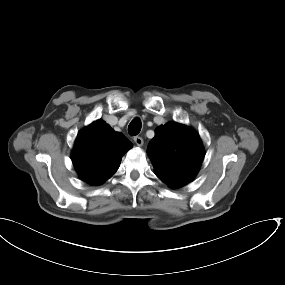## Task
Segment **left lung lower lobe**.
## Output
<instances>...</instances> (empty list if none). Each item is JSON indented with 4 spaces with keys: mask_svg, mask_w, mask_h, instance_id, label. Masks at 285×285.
<instances>
[{
    "mask_svg": "<svg viewBox=\"0 0 285 285\" xmlns=\"http://www.w3.org/2000/svg\"><path fill=\"white\" fill-rule=\"evenodd\" d=\"M168 186L173 187V188H178V187L183 186V184H170Z\"/></svg>",
    "mask_w": 285,
    "mask_h": 285,
    "instance_id": "obj_1",
    "label": "left lung lower lobe"
}]
</instances>
